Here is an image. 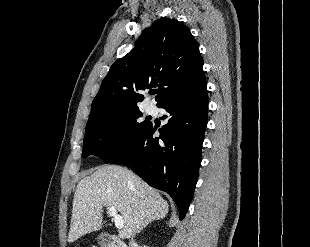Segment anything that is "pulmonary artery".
<instances>
[{
  "mask_svg": "<svg viewBox=\"0 0 310 247\" xmlns=\"http://www.w3.org/2000/svg\"><path fill=\"white\" fill-rule=\"evenodd\" d=\"M146 111H147L149 114H154V113H156V107H155L153 104H149V105L146 107Z\"/></svg>",
  "mask_w": 310,
  "mask_h": 247,
  "instance_id": "1",
  "label": "pulmonary artery"
}]
</instances>
